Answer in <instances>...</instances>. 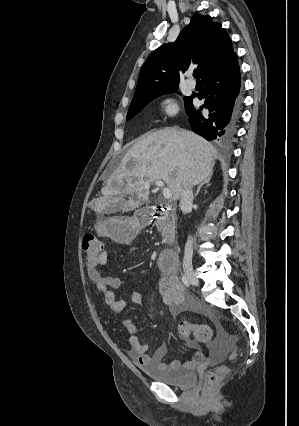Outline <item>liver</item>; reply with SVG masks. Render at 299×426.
Returning <instances> with one entry per match:
<instances>
[{
  "instance_id": "6515ba94",
  "label": "liver",
  "mask_w": 299,
  "mask_h": 426,
  "mask_svg": "<svg viewBox=\"0 0 299 426\" xmlns=\"http://www.w3.org/2000/svg\"><path fill=\"white\" fill-rule=\"evenodd\" d=\"M216 149L187 130L162 129L146 135L124 155L109 177L99 200L103 207L127 212L148 201L151 183L163 180L173 199L184 187L200 184L213 174ZM124 195H130L124 200Z\"/></svg>"
}]
</instances>
